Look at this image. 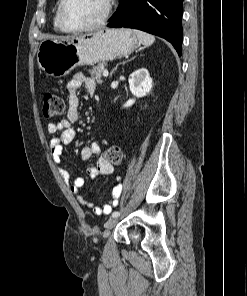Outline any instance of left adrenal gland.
<instances>
[{
    "instance_id": "left-adrenal-gland-1",
    "label": "left adrenal gland",
    "mask_w": 247,
    "mask_h": 296,
    "mask_svg": "<svg viewBox=\"0 0 247 296\" xmlns=\"http://www.w3.org/2000/svg\"><path fill=\"white\" fill-rule=\"evenodd\" d=\"M132 59H134V58H132ZM132 59H131V60H132ZM131 60H128V61H131ZM128 61H127V62H128ZM124 63H126V62H124ZM116 69H117V66H116L115 69L112 71L111 76H112V74L114 73V71H115Z\"/></svg>"
}]
</instances>
